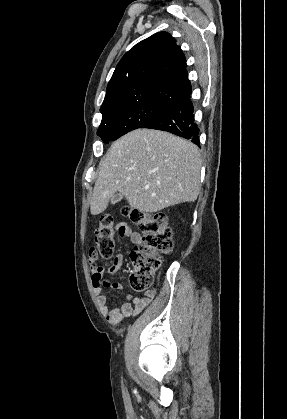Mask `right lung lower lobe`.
<instances>
[{"instance_id": "obj_1", "label": "right lung lower lobe", "mask_w": 287, "mask_h": 419, "mask_svg": "<svg viewBox=\"0 0 287 419\" xmlns=\"http://www.w3.org/2000/svg\"><path fill=\"white\" fill-rule=\"evenodd\" d=\"M190 95L172 101L140 128L167 131L199 145V128L194 122V108Z\"/></svg>"}]
</instances>
